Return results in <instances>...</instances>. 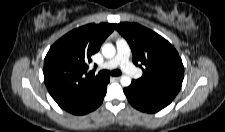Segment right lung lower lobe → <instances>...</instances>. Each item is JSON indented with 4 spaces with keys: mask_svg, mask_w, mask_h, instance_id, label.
<instances>
[{
    "mask_svg": "<svg viewBox=\"0 0 225 132\" xmlns=\"http://www.w3.org/2000/svg\"><path fill=\"white\" fill-rule=\"evenodd\" d=\"M108 83H109V77L103 78L102 87L100 88L99 93L88 104L72 107V108L65 109V110L72 114H75V115H83V114H86V113H89V112L95 110L97 107H99L101 105V103L103 101V98L107 91Z\"/></svg>",
    "mask_w": 225,
    "mask_h": 132,
    "instance_id": "98d812e1",
    "label": "right lung lower lobe"
}]
</instances>
